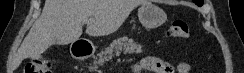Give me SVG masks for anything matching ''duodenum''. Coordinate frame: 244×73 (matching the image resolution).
<instances>
[{"label":"duodenum","instance_id":"obj_1","mask_svg":"<svg viewBox=\"0 0 244 73\" xmlns=\"http://www.w3.org/2000/svg\"><path fill=\"white\" fill-rule=\"evenodd\" d=\"M71 52H72L73 57L76 60H85L90 57L93 50L86 43L76 42L73 44Z\"/></svg>","mask_w":244,"mask_h":73}]
</instances>
